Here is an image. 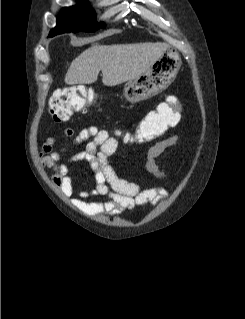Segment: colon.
Listing matches in <instances>:
<instances>
[{"mask_svg": "<svg viewBox=\"0 0 245 319\" xmlns=\"http://www.w3.org/2000/svg\"><path fill=\"white\" fill-rule=\"evenodd\" d=\"M94 99L95 93L92 89L83 85H72L54 93L50 112L55 120L63 121L74 112L83 110ZM178 114V101L171 98L168 104L149 112L127 140L139 144L154 141L177 122Z\"/></svg>", "mask_w": 245, "mask_h": 319, "instance_id": "colon-1", "label": "colon"}]
</instances>
